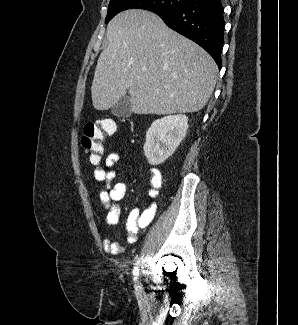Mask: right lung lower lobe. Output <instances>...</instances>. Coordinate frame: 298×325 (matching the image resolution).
<instances>
[{
    "label": "right lung lower lobe",
    "instance_id": "1",
    "mask_svg": "<svg viewBox=\"0 0 298 325\" xmlns=\"http://www.w3.org/2000/svg\"><path fill=\"white\" fill-rule=\"evenodd\" d=\"M155 13L171 29L204 48L221 68L225 25L221 0H191L181 8Z\"/></svg>",
    "mask_w": 298,
    "mask_h": 325
}]
</instances>
